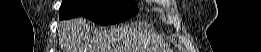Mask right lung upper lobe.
<instances>
[{"label":"right lung upper lobe","mask_w":261,"mask_h":52,"mask_svg":"<svg viewBox=\"0 0 261 52\" xmlns=\"http://www.w3.org/2000/svg\"><path fill=\"white\" fill-rule=\"evenodd\" d=\"M125 1H129V2H135L134 0H125Z\"/></svg>","instance_id":"right-lung-upper-lobe-1"}]
</instances>
